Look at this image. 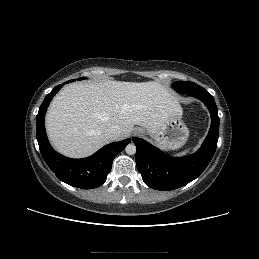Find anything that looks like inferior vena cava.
I'll return each mask as SVG.
<instances>
[{
    "label": "inferior vena cava",
    "mask_w": 259,
    "mask_h": 259,
    "mask_svg": "<svg viewBox=\"0 0 259 259\" xmlns=\"http://www.w3.org/2000/svg\"><path fill=\"white\" fill-rule=\"evenodd\" d=\"M121 134V128L118 125H111L105 130V136L110 140H117Z\"/></svg>",
    "instance_id": "obj_1"
}]
</instances>
